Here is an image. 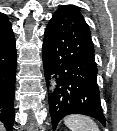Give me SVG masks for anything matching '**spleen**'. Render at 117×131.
<instances>
[{
	"instance_id": "1",
	"label": "spleen",
	"mask_w": 117,
	"mask_h": 131,
	"mask_svg": "<svg viewBox=\"0 0 117 131\" xmlns=\"http://www.w3.org/2000/svg\"><path fill=\"white\" fill-rule=\"evenodd\" d=\"M64 123L70 131H99L93 119L84 115H69L64 119Z\"/></svg>"
}]
</instances>
